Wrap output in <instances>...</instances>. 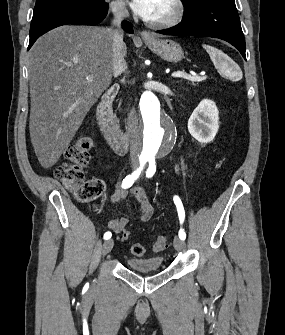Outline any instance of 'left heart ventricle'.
Instances as JSON below:
<instances>
[{
    "label": "left heart ventricle",
    "instance_id": "b2bd125f",
    "mask_svg": "<svg viewBox=\"0 0 285 335\" xmlns=\"http://www.w3.org/2000/svg\"><path fill=\"white\" fill-rule=\"evenodd\" d=\"M171 12L168 1H156V11L153 22L164 19Z\"/></svg>",
    "mask_w": 285,
    "mask_h": 335
}]
</instances>
